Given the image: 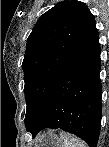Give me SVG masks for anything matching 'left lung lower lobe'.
Returning a JSON list of instances; mask_svg holds the SVG:
<instances>
[{
  "label": "left lung lower lobe",
  "mask_w": 109,
  "mask_h": 147,
  "mask_svg": "<svg viewBox=\"0 0 109 147\" xmlns=\"http://www.w3.org/2000/svg\"><path fill=\"white\" fill-rule=\"evenodd\" d=\"M98 30L60 71L38 120L27 131L60 128L96 147L102 116Z\"/></svg>",
  "instance_id": "1"
}]
</instances>
